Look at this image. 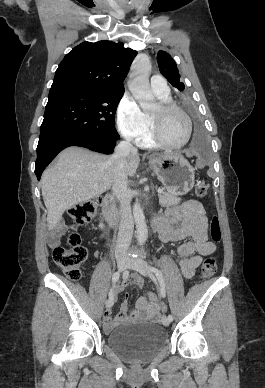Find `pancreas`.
Wrapping results in <instances>:
<instances>
[{"label": "pancreas", "instance_id": "1", "mask_svg": "<svg viewBox=\"0 0 265 388\" xmlns=\"http://www.w3.org/2000/svg\"><path fill=\"white\" fill-rule=\"evenodd\" d=\"M179 202H181V198H177L176 194H170V192H163L162 196H159V204L163 208L179 204Z\"/></svg>", "mask_w": 265, "mask_h": 388}]
</instances>
